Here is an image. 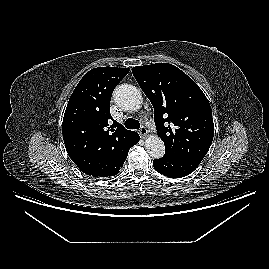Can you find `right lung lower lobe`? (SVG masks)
<instances>
[{"instance_id":"obj_1","label":"right lung lower lobe","mask_w":269,"mask_h":269,"mask_svg":"<svg viewBox=\"0 0 269 269\" xmlns=\"http://www.w3.org/2000/svg\"><path fill=\"white\" fill-rule=\"evenodd\" d=\"M139 140H140V136L138 135V133H136V135L132 138L131 143L129 144V147L127 148V151H126V153H125L126 158H127L129 149H130L133 145L137 144Z\"/></svg>"}]
</instances>
